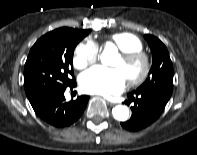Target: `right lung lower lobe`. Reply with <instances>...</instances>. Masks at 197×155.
<instances>
[{
  "label": "right lung lower lobe",
  "instance_id": "right-lung-lower-lobe-1",
  "mask_svg": "<svg viewBox=\"0 0 197 155\" xmlns=\"http://www.w3.org/2000/svg\"><path fill=\"white\" fill-rule=\"evenodd\" d=\"M68 86L73 88L76 82L73 80ZM64 91L65 89L53 92L32 105L35 113L42 120L57 128L70 126L77 121L89 100V96L82 95L74 101L66 102Z\"/></svg>",
  "mask_w": 197,
  "mask_h": 155
}]
</instances>
